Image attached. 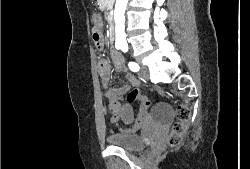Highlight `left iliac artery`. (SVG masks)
I'll list each match as a JSON object with an SVG mask.
<instances>
[{
	"mask_svg": "<svg viewBox=\"0 0 250 169\" xmlns=\"http://www.w3.org/2000/svg\"><path fill=\"white\" fill-rule=\"evenodd\" d=\"M123 51L127 52V50H123ZM128 66H129L130 70L133 72H137L140 69L139 65L135 62H129Z\"/></svg>",
	"mask_w": 250,
	"mask_h": 169,
	"instance_id": "left-iliac-artery-1",
	"label": "left iliac artery"
}]
</instances>
